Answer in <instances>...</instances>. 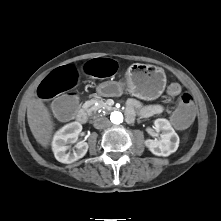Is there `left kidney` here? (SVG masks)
<instances>
[{
	"mask_svg": "<svg viewBox=\"0 0 221 221\" xmlns=\"http://www.w3.org/2000/svg\"><path fill=\"white\" fill-rule=\"evenodd\" d=\"M155 130L161 132V139H147L145 146L156 156L167 157L176 152L179 146V136L166 119L154 121Z\"/></svg>",
	"mask_w": 221,
	"mask_h": 221,
	"instance_id": "left-kidney-1",
	"label": "left kidney"
}]
</instances>
